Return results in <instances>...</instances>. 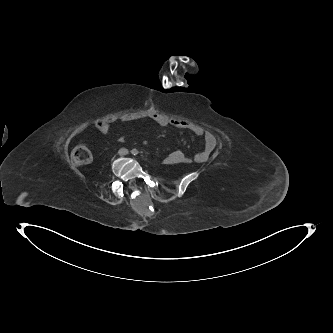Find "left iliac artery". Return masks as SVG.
<instances>
[{"instance_id":"obj_1","label":"left iliac artery","mask_w":333,"mask_h":333,"mask_svg":"<svg viewBox=\"0 0 333 333\" xmlns=\"http://www.w3.org/2000/svg\"><path fill=\"white\" fill-rule=\"evenodd\" d=\"M133 153H134V155H136V154H137V151L134 149V150H133Z\"/></svg>"}]
</instances>
